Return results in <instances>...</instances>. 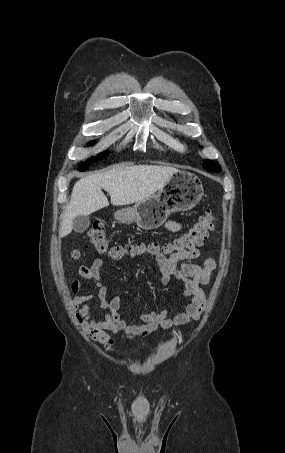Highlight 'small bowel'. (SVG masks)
Wrapping results in <instances>:
<instances>
[{"instance_id": "c3829d8e", "label": "small bowel", "mask_w": 285, "mask_h": 453, "mask_svg": "<svg viewBox=\"0 0 285 453\" xmlns=\"http://www.w3.org/2000/svg\"><path fill=\"white\" fill-rule=\"evenodd\" d=\"M183 223L168 221L166 229L170 232H178L183 228ZM152 255L150 250L143 252ZM201 250L196 249L190 253L165 257L161 254L152 255L156 259V269L160 275L161 283L167 285L172 279L184 282L183 299L190 300L184 310L170 318L169 310L160 308L157 311H149L138 317L140 324H129L125 315L120 311L121 298L115 296L107 299V289L100 282V275L103 270V260L95 259L90 267L80 266L77 273L96 284L97 292L93 295L79 294L83 291V285L74 280L69 286L70 293L74 295L71 307L77 321L85 333L96 343L104 346H112L114 339L112 334L124 333L128 339L135 337H146L159 327L169 329L187 324L191 320H198L201 313L207 307V298L203 286L210 282L211 274L216 268V262L212 257L206 258L204 264L198 265L190 262H183L198 258ZM96 299L103 314L102 320L94 319L91 313V301Z\"/></svg>"}]
</instances>
